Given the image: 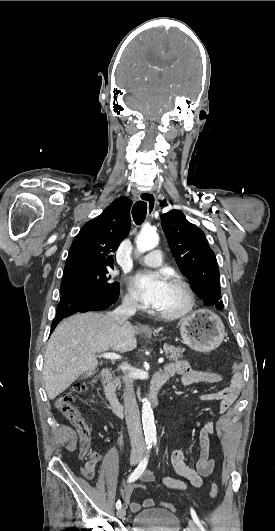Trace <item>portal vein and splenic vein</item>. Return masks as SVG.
<instances>
[{
	"instance_id": "1",
	"label": "portal vein and splenic vein",
	"mask_w": 275,
	"mask_h": 531,
	"mask_svg": "<svg viewBox=\"0 0 275 531\" xmlns=\"http://www.w3.org/2000/svg\"><path fill=\"white\" fill-rule=\"evenodd\" d=\"M101 357H103V359H112V361H116V359H122V357H120V355H116V353H103ZM163 361L164 359H158V363H163Z\"/></svg>"
}]
</instances>
